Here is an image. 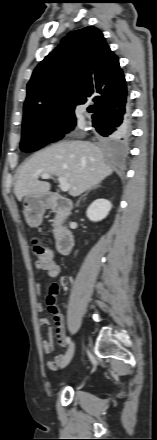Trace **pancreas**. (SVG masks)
<instances>
[{"instance_id":"pancreas-1","label":"pancreas","mask_w":157,"mask_h":440,"mask_svg":"<svg viewBox=\"0 0 157 440\" xmlns=\"http://www.w3.org/2000/svg\"><path fill=\"white\" fill-rule=\"evenodd\" d=\"M52 225H53L54 237H57L58 232H59V228H60V221H59V218L57 216L53 220V224Z\"/></svg>"}]
</instances>
